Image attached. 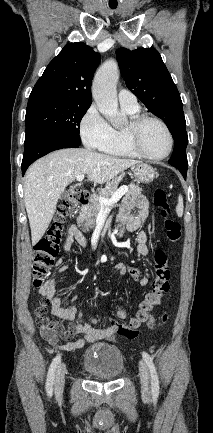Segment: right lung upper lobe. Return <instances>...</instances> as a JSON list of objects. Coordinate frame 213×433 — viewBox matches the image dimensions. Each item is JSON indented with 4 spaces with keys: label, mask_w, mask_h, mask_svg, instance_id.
<instances>
[{
    "label": "right lung upper lobe",
    "mask_w": 213,
    "mask_h": 433,
    "mask_svg": "<svg viewBox=\"0 0 213 433\" xmlns=\"http://www.w3.org/2000/svg\"><path fill=\"white\" fill-rule=\"evenodd\" d=\"M99 63V53L85 43L67 44L48 64L29 99L54 98L91 104V84Z\"/></svg>",
    "instance_id": "1"
}]
</instances>
